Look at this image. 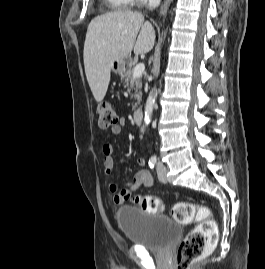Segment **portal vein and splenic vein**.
Segmentation results:
<instances>
[{
	"label": "portal vein and splenic vein",
	"instance_id": "18ae733b",
	"mask_svg": "<svg viewBox=\"0 0 265 269\" xmlns=\"http://www.w3.org/2000/svg\"><path fill=\"white\" fill-rule=\"evenodd\" d=\"M145 70V65L144 63H139L135 66L134 71H133V77L138 78L142 75V73Z\"/></svg>",
	"mask_w": 265,
	"mask_h": 269
}]
</instances>
